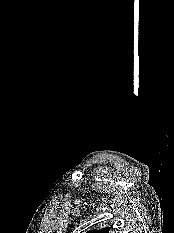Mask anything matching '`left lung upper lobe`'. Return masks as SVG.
I'll use <instances>...</instances> for the list:
<instances>
[{
  "label": "left lung upper lobe",
  "mask_w": 174,
  "mask_h": 233,
  "mask_svg": "<svg viewBox=\"0 0 174 233\" xmlns=\"http://www.w3.org/2000/svg\"><path fill=\"white\" fill-rule=\"evenodd\" d=\"M88 233H109V228L106 227L101 230L94 229V230L88 231Z\"/></svg>",
  "instance_id": "1"
}]
</instances>
